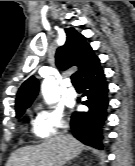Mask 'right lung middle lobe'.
<instances>
[{"instance_id": "1", "label": "right lung middle lobe", "mask_w": 135, "mask_h": 166, "mask_svg": "<svg viewBox=\"0 0 135 166\" xmlns=\"http://www.w3.org/2000/svg\"><path fill=\"white\" fill-rule=\"evenodd\" d=\"M29 106H24L16 110V116L20 117Z\"/></svg>"}]
</instances>
